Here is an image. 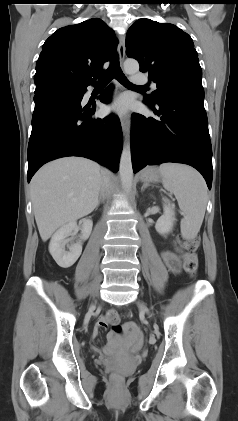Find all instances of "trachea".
<instances>
[{
  "label": "trachea",
  "instance_id": "1",
  "mask_svg": "<svg viewBox=\"0 0 238 421\" xmlns=\"http://www.w3.org/2000/svg\"><path fill=\"white\" fill-rule=\"evenodd\" d=\"M96 75L99 78L98 83L100 84H107L111 81V79L115 78L118 82H120L122 85L126 87L144 88V86H136L129 82V80L127 79V77L124 75V73L122 72L120 68L117 55H115L112 58L111 64L105 72H102V73L99 72Z\"/></svg>",
  "mask_w": 238,
  "mask_h": 421
}]
</instances>
